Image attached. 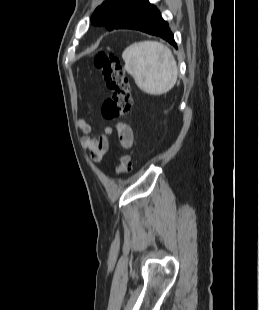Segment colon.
<instances>
[{
    "mask_svg": "<svg viewBox=\"0 0 259 310\" xmlns=\"http://www.w3.org/2000/svg\"><path fill=\"white\" fill-rule=\"evenodd\" d=\"M93 62L95 67L102 74L110 96L103 102L101 113L105 120L114 123L130 112L132 97L130 85L123 66L115 53L110 51L98 52ZM132 160L127 154L121 156L116 168L118 176H124L131 172Z\"/></svg>",
    "mask_w": 259,
    "mask_h": 310,
    "instance_id": "obj_1",
    "label": "colon"
}]
</instances>
